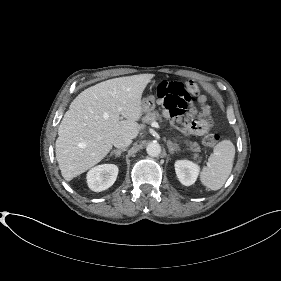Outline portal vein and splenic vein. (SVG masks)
<instances>
[{
  "instance_id": "1",
  "label": "portal vein and splenic vein",
  "mask_w": 281,
  "mask_h": 281,
  "mask_svg": "<svg viewBox=\"0 0 281 281\" xmlns=\"http://www.w3.org/2000/svg\"><path fill=\"white\" fill-rule=\"evenodd\" d=\"M151 126L154 128H160L159 124L155 121L151 123Z\"/></svg>"
}]
</instances>
